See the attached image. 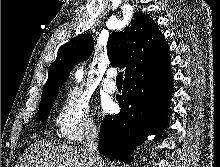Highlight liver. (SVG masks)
I'll return each instance as SVG.
<instances>
[{"instance_id": "1", "label": "liver", "mask_w": 220, "mask_h": 167, "mask_svg": "<svg viewBox=\"0 0 220 167\" xmlns=\"http://www.w3.org/2000/svg\"><path fill=\"white\" fill-rule=\"evenodd\" d=\"M15 167H96V164L84 147L40 141L28 148Z\"/></svg>"}]
</instances>
